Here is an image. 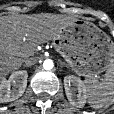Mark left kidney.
<instances>
[{
  "label": "left kidney",
  "mask_w": 114,
  "mask_h": 114,
  "mask_svg": "<svg viewBox=\"0 0 114 114\" xmlns=\"http://www.w3.org/2000/svg\"><path fill=\"white\" fill-rule=\"evenodd\" d=\"M64 87L69 102L82 108L86 102V88L82 81L74 75H69L64 78Z\"/></svg>",
  "instance_id": "left-kidney-1"
}]
</instances>
